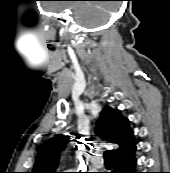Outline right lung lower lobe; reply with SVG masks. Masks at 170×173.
<instances>
[{
    "label": "right lung lower lobe",
    "mask_w": 170,
    "mask_h": 173,
    "mask_svg": "<svg viewBox=\"0 0 170 173\" xmlns=\"http://www.w3.org/2000/svg\"><path fill=\"white\" fill-rule=\"evenodd\" d=\"M136 151L135 143L125 151L114 155V170L112 173H138L135 171L136 159L134 153Z\"/></svg>",
    "instance_id": "obj_1"
}]
</instances>
